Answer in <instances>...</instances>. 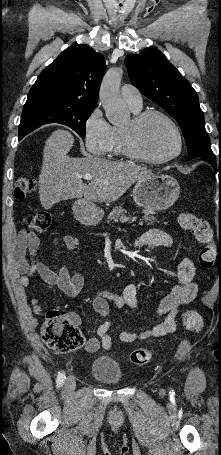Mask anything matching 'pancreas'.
<instances>
[{"instance_id": "obj_1", "label": "pancreas", "mask_w": 221, "mask_h": 455, "mask_svg": "<svg viewBox=\"0 0 221 455\" xmlns=\"http://www.w3.org/2000/svg\"><path fill=\"white\" fill-rule=\"evenodd\" d=\"M126 213L127 211L125 209H123L122 207H115L113 208V210L108 214L107 216V220L110 221V220H114V221H118L120 220L121 222H126L128 221L129 217L126 216ZM145 215L144 217L141 219V222L142 223L143 221L144 222H147L148 224H153L154 222H159L157 220V218L155 216L152 215L151 212L149 211H145L144 212Z\"/></svg>"}]
</instances>
